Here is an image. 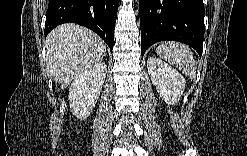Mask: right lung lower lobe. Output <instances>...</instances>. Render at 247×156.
<instances>
[{
  "label": "right lung lower lobe",
  "mask_w": 247,
  "mask_h": 156,
  "mask_svg": "<svg viewBox=\"0 0 247 156\" xmlns=\"http://www.w3.org/2000/svg\"><path fill=\"white\" fill-rule=\"evenodd\" d=\"M119 0H50L45 36L56 26L73 22L97 33L112 51Z\"/></svg>",
  "instance_id": "obj_1"
}]
</instances>
